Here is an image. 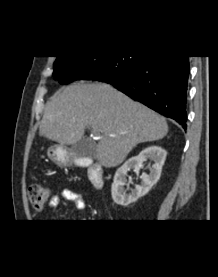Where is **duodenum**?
<instances>
[{
    "label": "duodenum",
    "mask_w": 218,
    "mask_h": 277,
    "mask_svg": "<svg viewBox=\"0 0 218 277\" xmlns=\"http://www.w3.org/2000/svg\"><path fill=\"white\" fill-rule=\"evenodd\" d=\"M80 166H87L88 179L90 183L97 189L102 188L104 184L103 169L99 164L88 162L86 160L79 161Z\"/></svg>",
    "instance_id": "1"
}]
</instances>
